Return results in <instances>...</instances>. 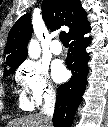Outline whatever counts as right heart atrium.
<instances>
[{
	"mask_svg": "<svg viewBox=\"0 0 108 127\" xmlns=\"http://www.w3.org/2000/svg\"><path fill=\"white\" fill-rule=\"evenodd\" d=\"M16 79L22 88L25 99L31 105H41L55 97V86L48 69L34 61L24 62L16 73Z\"/></svg>",
	"mask_w": 108,
	"mask_h": 127,
	"instance_id": "1",
	"label": "right heart atrium"
}]
</instances>
